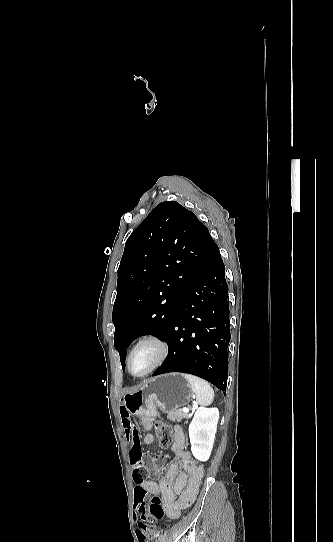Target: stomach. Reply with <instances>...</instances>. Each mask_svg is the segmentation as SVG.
Returning a JSON list of instances; mask_svg holds the SVG:
<instances>
[{
    "instance_id": "obj_1",
    "label": "stomach",
    "mask_w": 333,
    "mask_h": 542,
    "mask_svg": "<svg viewBox=\"0 0 333 542\" xmlns=\"http://www.w3.org/2000/svg\"><path fill=\"white\" fill-rule=\"evenodd\" d=\"M192 398L190 384L183 374H163L148 380L137 392L123 396V404L132 416H143L147 420H156L157 408L162 412L177 410L187 406Z\"/></svg>"
}]
</instances>
